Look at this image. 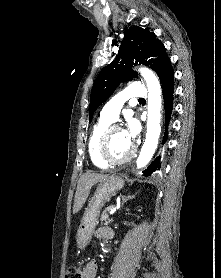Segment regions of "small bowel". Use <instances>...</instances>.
I'll use <instances>...</instances> for the list:
<instances>
[{
	"label": "small bowel",
	"instance_id": "small-bowel-1",
	"mask_svg": "<svg viewBox=\"0 0 221 278\" xmlns=\"http://www.w3.org/2000/svg\"><path fill=\"white\" fill-rule=\"evenodd\" d=\"M99 233L102 237L112 236L113 232L111 229L108 228H101L99 230ZM84 273L86 275V278H95L97 270H98V264L95 260L88 261L85 266L83 267Z\"/></svg>",
	"mask_w": 221,
	"mask_h": 278
}]
</instances>
